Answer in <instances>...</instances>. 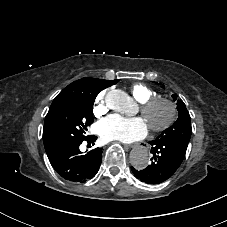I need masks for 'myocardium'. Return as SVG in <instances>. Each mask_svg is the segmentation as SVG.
Instances as JSON below:
<instances>
[{
  "label": "myocardium",
  "instance_id": "1",
  "mask_svg": "<svg viewBox=\"0 0 227 227\" xmlns=\"http://www.w3.org/2000/svg\"><path fill=\"white\" fill-rule=\"evenodd\" d=\"M158 104H165L169 108V114L166 120L160 125H151L150 129L154 132H161L169 129L177 120L179 109L177 103L169 98L155 96L140 105V113L144 117L150 110H152Z\"/></svg>",
  "mask_w": 227,
  "mask_h": 227
}]
</instances>
